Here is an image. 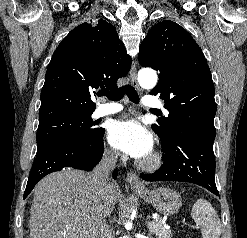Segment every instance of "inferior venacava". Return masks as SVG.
Instances as JSON below:
<instances>
[{
	"instance_id": "obj_1",
	"label": "inferior vena cava",
	"mask_w": 247,
	"mask_h": 238,
	"mask_svg": "<svg viewBox=\"0 0 247 238\" xmlns=\"http://www.w3.org/2000/svg\"><path fill=\"white\" fill-rule=\"evenodd\" d=\"M117 156L118 154L116 151H107L100 163L93 169L92 173L90 174L95 189L100 194L104 193L110 185V175L115 167ZM104 227V223L101 224L99 233L100 238L107 237L104 231Z\"/></svg>"
}]
</instances>
